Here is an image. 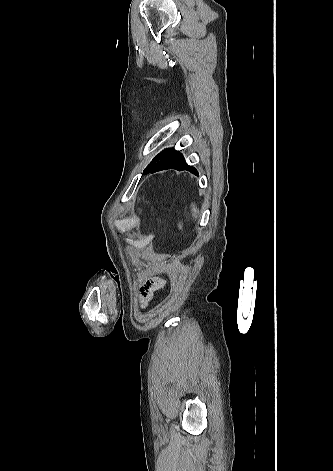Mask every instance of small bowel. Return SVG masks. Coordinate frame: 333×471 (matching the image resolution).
Segmentation results:
<instances>
[{
	"label": "small bowel",
	"mask_w": 333,
	"mask_h": 471,
	"mask_svg": "<svg viewBox=\"0 0 333 471\" xmlns=\"http://www.w3.org/2000/svg\"><path fill=\"white\" fill-rule=\"evenodd\" d=\"M166 285V281L158 276L150 277L148 275L143 276L138 284L137 297L140 302L141 308H146L156 291L163 289Z\"/></svg>",
	"instance_id": "c3829d8e"
}]
</instances>
